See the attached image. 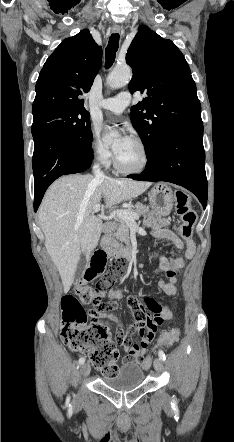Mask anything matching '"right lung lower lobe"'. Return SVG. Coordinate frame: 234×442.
<instances>
[{"label": "right lung lower lobe", "mask_w": 234, "mask_h": 442, "mask_svg": "<svg viewBox=\"0 0 234 442\" xmlns=\"http://www.w3.org/2000/svg\"><path fill=\"white\" fill-rule=\"evenodd\" d=\"M33 138L34 210L37 211L48 186L62 175L89 168L93 153L91 147L86 148L62 135L41 133Z\"/></svg>", "instance_id": "obj_1"}]
</instances>
